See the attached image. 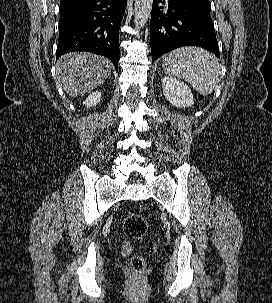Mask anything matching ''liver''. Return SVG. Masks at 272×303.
<instances>
[{
  "mask_svg": "<svg viewBox=\"0 0 272 303\" xmlns=\"http://www.w3.org/2000/svg\"><path fill=\"white\" fill-rule=\"evenodd\" d=\"M112 63L89 52L62 55L56 64V78L70 97L83 96L97 88L110 76Z\"/></svg>",
  "mask_w": 272,
  "mask_h": 303,
  "instance_id": "6515ba94",
  "label": "liver"
}]
</instances>
